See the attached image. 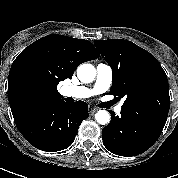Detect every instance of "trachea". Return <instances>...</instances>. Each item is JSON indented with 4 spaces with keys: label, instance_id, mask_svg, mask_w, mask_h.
Segmentation results:
<instances>
[{
    "label": "trachea",
    "instance_id": "1",
    "mask_svg": "<svg viewBox=\"0 0 178 178\" xmlns=\"http://www.w3.org/2000/svg\"><path fill=\"white\" fill-rule=\"evenodd\" d=\"M112 103H113V102H109V105H112ZM105 105H107V104H105Z\"/></svg>",
    "mask_w": 178,
    "mask_h": 178
}]
</instances>
